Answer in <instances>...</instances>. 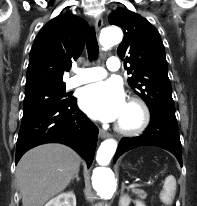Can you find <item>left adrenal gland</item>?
Listing matches in <instances>:
<instances>
[{
	"label": "left adrenal gland",
	"instance_id": "left-adrenal-gland-1",
	"mask_svg": "<svg viewBox=\"0 0 197 206\" xmlns=\"http://www.w3.org/2000/svg\"><path fill=\"white\" fill-rule=\"evenodd\" d=\"M124 189H127V190H128V188L126 187V185L124 184V182H122L121 192H123Z\"/></svg>",
	"mask_w": 197,
	"mask_h": 206
}]
</instances>
